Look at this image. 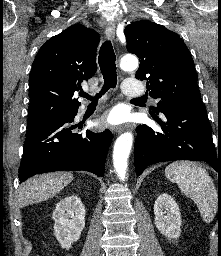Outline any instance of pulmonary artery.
<instances>
[{
	"mask_svg": "<svg viewBox=\"0 0 221 256\" xmlns=\"http://www.w3.org/2000/svg\"><path fill=\"white\" fill-rule=\"evenodd\" d=\"M123 92L128 97H140L146 92L144 85L136 79H127L123 83Z\"/></svg>",
	"mask_w": 221,
	"mask_h": 256,
	"instance_id": "pulmonary-artery-1",
	"label": "pulmonary artery"
}]
</instances>
